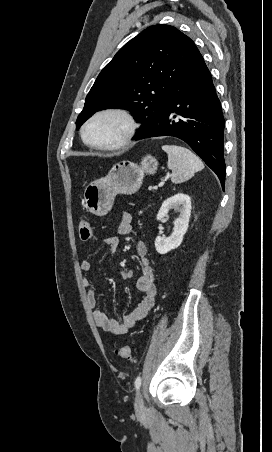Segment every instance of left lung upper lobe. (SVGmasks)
<instances>
[{
    "label": "left lung upper lobe",
    "instance_id": "1",
    "mask_svg": "<svg viewBox=\"0 0 272 452\" xmlns=\"http://www.w3.org/2000/svg\"><path fill=\"white\" fill-rule=\"evenodd\" d=\"M177 28L154 25L125 44L102 69L76 121L78 129L96 111L133 112L141 129L155 124L182 72L197 51Z\"/></svg>",
    "mask_w": 272,
    "mask_h": 452
}]
</instances>
